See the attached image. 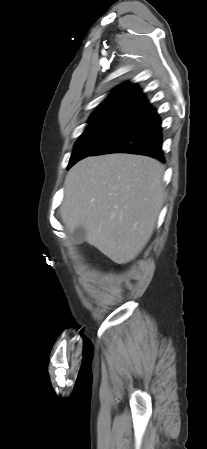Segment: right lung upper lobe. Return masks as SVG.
<instances>
[{"label": "right lung upper lobe", "mask_w": 207, "mask_h": 449, "mask_svg": "<svg viewBox=\"0 0 207 449\" xmlns=\"http://www.w3.org/2000/svg\"><path fill=\"white\" fill-rule=\"evenodd\" d=\"M150 106L141 91L133 84H123L114 90L110 96L99 105L93 113H107L113 111L139 113Z\"/></svg>", "instance_id": "right-lung-upper-lobe-1"}]
</instances>
